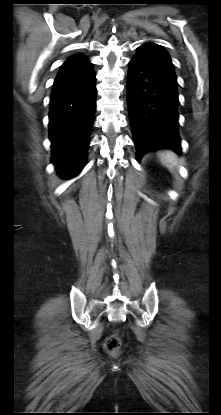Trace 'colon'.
Wrapping results in <instances>:
<instances>
[{
    "label": "colon",
    "mask_w": 221,
    "mask_h": 415,
    "mask_svg": "<svg viewBox=\"0 0 221 415\" xmlns=\"http://www.w3.org/2000/svg\"><path fill=\"white\" fill-rule=\"evenodd\" d=\"M104 347L109 353H115L120 347V341L116 336H110L105 340Z\"/></svg>",
    "instance_id": "5ec220e1"
}]
</instances>
